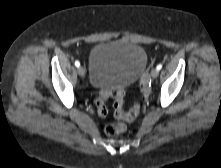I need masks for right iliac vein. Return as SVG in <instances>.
<instances>
[{
    "label": "right iliac vein",
    "mask_w": 221,
    "mask_h": 168,
    "mask_svg": "<svg viewBox=\"0 0 221 168\" xmlns=\"http://www.w3.org/2000/svg\"><path fill=\"white\" fill-rule=\"evenodd\" d=\"M85 73H86L85 68H84L83 66H79V67H78V74H79L81 77H83V76L85 75Z\"/></svg>",
    "instance_id": "obj_1"
}]
</instances>
